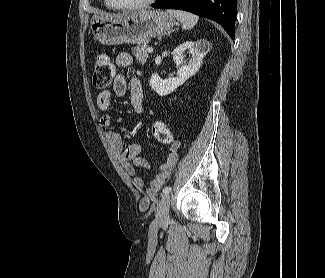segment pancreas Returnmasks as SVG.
<instances>
[{
	"label": "pancreas",
	"mask_w": 325,
	"mask_h": 278,
	"mask_svg": "<svg viewBox=\"0 0 325 278\" xmlns=\"http://www.w3.org/2000/svg\"><path fill=\"white\" fill-rule=\"evenodd\" d=\"M148 42H145L144 44L142 45H139L135 48H132V54L135 56V58L137 59V61L141 64H144L149 55H148V51H147V48H148Z\"/></svg>",
	"instance_id": "pancreas-1"
}]
</instances>
